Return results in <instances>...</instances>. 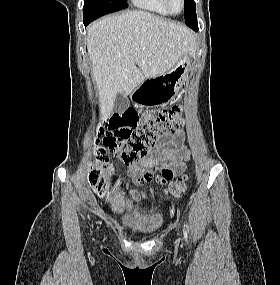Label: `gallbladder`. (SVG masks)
<instances>
[{
	"instance_id": "obj_1",
	"label": "gallbladder",
	"mask_w": 280,
	"mask_h": 285,
	"mask_svg": "<svg viewBox=\"0 0 280 285\" xmlns=\"http://www.w3.org/2000/svg\"><path fill=\"white\" fill-rule=\"evenodd\" d=\"M128 106H129L128 99L124 95L118 93L116 95L114 102V111L122 113L126 108H128Z\"/></svg>"
}]
</instances>
